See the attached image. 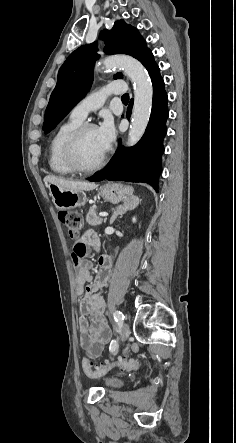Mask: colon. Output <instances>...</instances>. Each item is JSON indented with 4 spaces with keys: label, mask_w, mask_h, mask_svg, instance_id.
<instances>
[{
    "label": "colon",
    "mask_w": 236,
    "mask_h": 443,
    "mask_svg": "<svg viewBox=\"0 0 236 443\" xmlns=\"http://www.w3.org/2000/svg\"><path fill=\"white\" fill-rule=\"evenodd\" d=\"M60 222L66 227L69 235L75 237L79 235L83 227V219L81 214L73 211H61L58 214ZM85 255V247L77 246L72 250V256L75 261L81 259ZM75 267L77 266L74 264ZM83 368L87 376L100 377L113 368H120L126 371H138L141 365L135 362H128L122 358L110 359L105 361L98 367H94L89 356L83 359Z\"/></svg>",
    "instance_id": "colon-1"
}]
</instances>
